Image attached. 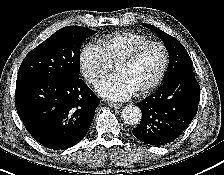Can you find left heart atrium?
<instances>
[{"label": "left heart atrium", "mask_w": 224, "mask_h": 175, "mask_svg": "<svg viewBox=\"0 0 224 175\" xmlns=\"http://www.w3.org/2000/svg\"><path fill=\"white\" fill-rule=\"evenodd\" d=\"M97 92L108 100L124 101L131 98L136 90L123 76L115 74L104 79L97 86Z\"/></svg>", "instance_id": "left-heart-atrium-1"}]
</instances>
